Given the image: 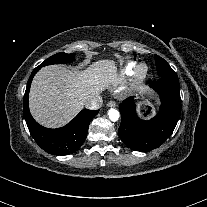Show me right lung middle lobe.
<instances>
[{"label":"right lung middle lobe","mask_w":207,"mask_h":207,"mask_svg":"<svg viewBox=\"0 0 207 207\" xmlns=\"http://www.w3.org/2000/svg\"><path fill=\"white\" fill-rule=\"evenodd\" d=\"M75 58V54H66V53H58L50 58L46 59L43 63H41L38 68H41L46 65H51V64H60V63H68L72 62Z\"/></svg>","instance_id":"obj_1"}]
</instances>
